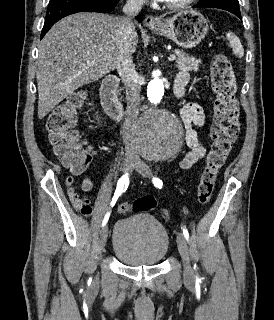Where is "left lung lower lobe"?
<instances>
[{"instance_id":"obj_1","label":"left lung lower lobe","mask_w":274,"mask_h":320,"mask_svg":"<svg viewBox=\"0 0 274 320\" xmlns=\"http://www.w3.org/2000/svg\"><path fill=\"white\" fill-rule=\"evenodd\" d=\"M194 7H211V6H207V5H202V4H198V5H195ZM213 8H216V7H213ZM233 14H235L236 16H238L240 19H241V14H240V11H231V10H227Z\"/></svg>"}]
</instances>
